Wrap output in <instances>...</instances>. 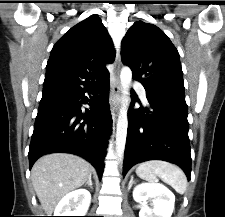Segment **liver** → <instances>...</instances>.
Returning a JSON list of instances; mask_svg holds the SVG:
<instances>
[{
  "instance_id": "obj_1",
  "label": "liver",
  "mask_w": 225,
  "mask_h": 217,
  "mask_svg": "<svg viewBox=\"0 0 225 217\" xmlns=\"http://www.w3.org/2000/svg\"><path fill=\"white\" fill-rule=\"evenodd\" d=\"M92 169L89 162L73 154L52 153L39 158L31 179L45 213L51 216L66 194L86 183Z\"/></svg>"
}]
</instances>
